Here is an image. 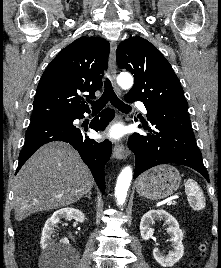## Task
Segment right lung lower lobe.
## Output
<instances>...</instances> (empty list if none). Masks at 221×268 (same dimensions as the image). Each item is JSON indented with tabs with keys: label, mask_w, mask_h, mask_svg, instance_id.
<instances>
[{
	"label": "right lung lower lobe",
	"mask_w": 221,
	"mask_h": 268,
	"mask_svg": "<svg viewBox=\"0 0 221 268\" xmlns=\"http://www.w3.org/2000/svg\"><path fill=\"white\" fill-rule=\"evenodd\" d=\"M83 117V113H80L69 118L31 121L26 132L24 147L19 154L16 173L39 147L51 141H64L78 151L91 170L101 192L104 193L105 178L103 170L111 156V143L108 140L98 143L84 133V131H87V127L83 128L73 124L75 119H82ZM113 117V110L106 109L100 114V118L99 116L96 117L89 126L95 131L104 130Z\"/></svg>",
	"instance_id": "1"
}]
</instances>
